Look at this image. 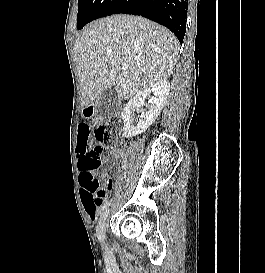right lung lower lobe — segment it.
<instances>
[{
  "mask_svg": "<svg viewBox=\"0 0 265 273\" xmlns=\"http://www.w3.org/2000/svg\"><path fill=\"white\" fill-rule=\"evenodd\" d=\"M188 0H118L106 16L133 14L170 29L182 43L186 32Z\"/></svg>",
  "mask_w": 265,
  "mask_h": 273,
  "instance_id": "98d812e1",
  "label": "right lung lower lobe"
}]
</instances>
